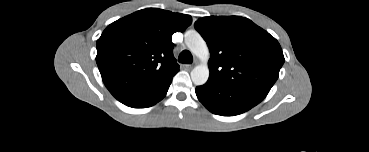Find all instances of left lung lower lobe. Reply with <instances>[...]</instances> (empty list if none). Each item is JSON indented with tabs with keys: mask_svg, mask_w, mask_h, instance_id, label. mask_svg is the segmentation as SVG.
Segmentation results:
<instances>
[{
	"mask_svg": "<svg viewBox=\"0 0 369 152\" xmlns=\"http://www.w3.org/2000/svg\"><path fill=\"white\" fill-rule=\"evenodd\" d=\"M199 101L212 113L221 116H234L250 110L265 97L243 90L223 86L209 80L195 89Z\"/></svg>",
	"mask_w": 369,
	"mask_h": 152,
	"instance_id": "left-lung-lower-lobe-1",
	"label": "left lung lower lobe"
}]
</instances>
